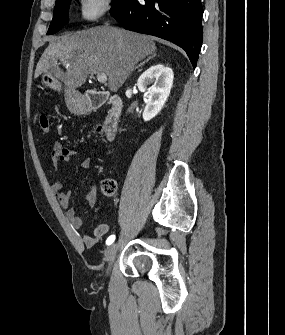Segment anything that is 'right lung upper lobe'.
Returning <instances> with one entry per match:
<instances>
[{
	"label": "right lung upper lobe",
	"instance_id": "cb5924a9",
	"mask_svg": "<svg viewBox=\"0 0 285 335\" xmlns=\"http://www.w3.org/2000/svg\"><path fill=\"white\" fill-rule=\"evenodd\" d=\"M61 0H56V3L60 2Z\"/></svg>",
	"mask_w": 285,
	"mask_h": 335
}]
</instances>
